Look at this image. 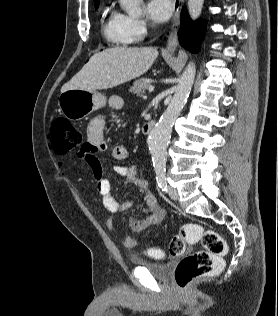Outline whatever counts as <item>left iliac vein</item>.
Wrapping results in <instances>:
<instances>
[{"instance_id":"obj_1","label":"left iliac vein","mask_w":278,"mask_h":316,"mask_svg":"<svg viewBox=\"0 0 278 316\" xmlns=\"http://www.w3.org/2000/svg\"><path fill=\"white\" fill-rule=\"evenodd\" d=\"M168 194L172 200L176 201L179 198L177 190L171 186H168Z\"/></svg>"}]
</instances>
